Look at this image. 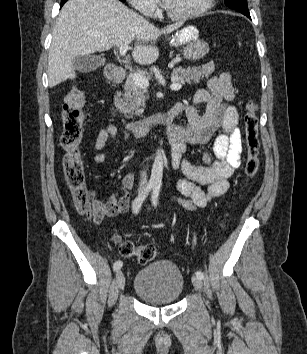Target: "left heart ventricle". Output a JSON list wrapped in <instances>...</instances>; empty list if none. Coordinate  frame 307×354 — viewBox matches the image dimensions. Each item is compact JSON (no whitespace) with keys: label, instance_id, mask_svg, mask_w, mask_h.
<instances>
[{"label":"left heart ventricle","instance_id":"left-heart-ventricle-1","mask_svg":"<svg viewBox=\"0 0 307 354\" xmlns=\"http://www.w3.org/2000/svg\"><path fill=\"white\" fill-rule=\"evenodd\" d=\"M204 0H168L166 7L174 14H185L196 10Z\"/></svg>","mask_w":307,"mask_h":354}]
</instances>
